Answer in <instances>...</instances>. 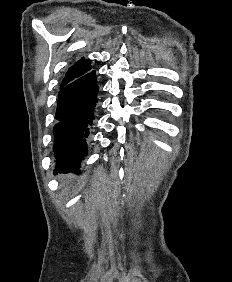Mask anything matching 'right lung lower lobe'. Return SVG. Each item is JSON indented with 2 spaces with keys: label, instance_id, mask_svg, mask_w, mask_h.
I'll return each mask as SVG.
<instances>
[{
  "label": "right lung lower lobe",
  "instance_id": "98d812e1",
  "mask_svg": "<svg viewBox=\"0 0 232 282\" xmlns=\"http://www.w3.org/2000/svg\"><path fill=\"white\" fill-rule=\"evenodd\" d=\"M98 90L94 70L61 84L55 115L57 123L53 128L54 174H79L80 161L88 152Z\"/></svg>",
  "mask_w": 232,
  "mask_h": 282
}]
</instances>
